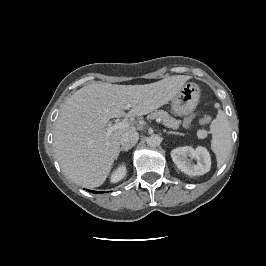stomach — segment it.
<instances>
[{"mask_svg":"<svg viewBox=\"0 0 266 266\" xmlns=\"http://www.w3.org/2000/svg\"><path fill=\"white\" fill-rule=\"evenodd\" d=\"M200 98V88L193 82L185 83L181 90L172 98L171 109L177 116L192 113Z\"/></svg>","mask_w":266,"mask_h":266,"instance_id":"1","label":"stomach"}]
</instances>
